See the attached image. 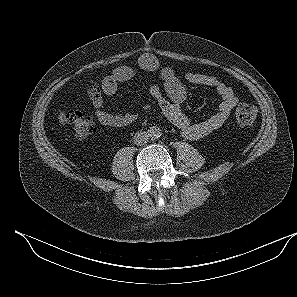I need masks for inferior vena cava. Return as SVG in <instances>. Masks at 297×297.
Instances as JSON below:
<instances>
[{"label":"inferior vena cava","instance_id":"602c4592","mask_svg":"<svg viewBox=\"0 0 297 297\" xmlns=\"http://www.w3.org/2000/svg\"><path fill=\"white\" fill-rule=\"evenodd\" d=\"M149 138L150 137L148 133H146L145 131H140L134 135V143L137 146H142L148 142Z\"/></svg>","mask_w":297,"mask_h":297}]
</instances>
